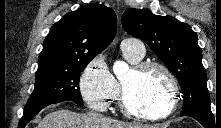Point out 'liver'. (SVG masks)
<instances>
[{
    "label": "liver",
    "instance_id": "6515ba94",
    "mask_svg": "<svg viewBox=\"0 0 221 128\" xmlns=\"http://www.w3.org/2000/svg\"><path fill=\"white\" fill-rule=\"evenodd\" d=\"M168 124L122 123L95 112L79 114L61 109L47 114L36 128H167Z\"/></svg>",
    "mask_w": 221,
    "mask_h": 128
}]
</instances>
